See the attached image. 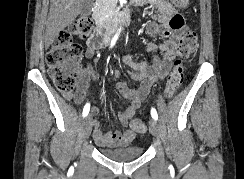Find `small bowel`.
Masks as SVG:
<instances>
[{
    "mask_svg": "<svg viewBox=\"0 0 244 179\" xmlns=\"http://www.w3.org/2000/svg\"><path fill=\"white\" fill-rule=\"evenodd\" d=\"M139 6L149 5L156 11L155 20L146 25V33L151 36H160L164 40L161 43L149 41L146 44V51L152 55V61H137L131 57H124L123 61L131 71L129 76L132 80L140 83L138 88H130L127 82L122 79V73L115 71L113 77L119 79L116 89L129 102L127 107L119 114V122L127 129L124 131L106 130L101 127L99 120L95 118L99 114V109H91V122L94 127L93 138L100 147H125L128 146L133 138L134 132L129 129L130 121L141 106L152 86L163 80L171 70L175 58L176 41L183 29V17L178 11L165 0H140ZM97 48L88 41L85 50V57L91 59L95 56ZM161 53V55L158 54ZM78 86L75 93H66L64 97L76 104H84L86 92L91 80L98 79V73L94 65L89 64L77 71Z\"/></svg>",
    "mask_w": 244,
    "mask_h": 179,
    "instance_id": "small-bowel-1",
    "label": "small bowel"
}]
</instances>
